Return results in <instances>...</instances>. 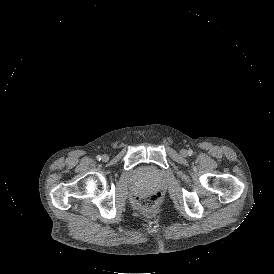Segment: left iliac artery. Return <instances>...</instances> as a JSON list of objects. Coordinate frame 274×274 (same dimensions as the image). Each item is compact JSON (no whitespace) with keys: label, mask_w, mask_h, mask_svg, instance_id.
I'll use <instances>...</instances> for the list:
<instances>
[{"label":"left iliac artery","mask_w":274,"mask_h":274,"mask_svg":"<svg viewBox=\"0 0 274 274\" xmlns=\"http://www.w3.org/2000/svg\"><path fill=\"white\" fill-rule=\"evenodd\" d=\"M188 155L192 156L193 155V151L192 150H188Z\"/></svg>","instance_id":"44dca946"}]
</instances>
